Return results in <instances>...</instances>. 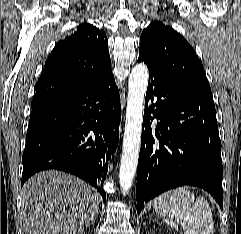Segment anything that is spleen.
<instances>
[{"label":"spleen","mask_w":241,"mask_h":234,"mask_svg":"<svg viewBox=\"0 0 241 234\" xmlns=\"http://www.w3.org/2000/svg\"><path fill=\"white\" fill-rule=\"evenodd\" d=\"M153 208L165 218L180 223L184 234H213V216L205 198L194 194L186 187L167 191L153 201Z\"/></svg>","instance_id":"3e777b00"}]
</instances>
